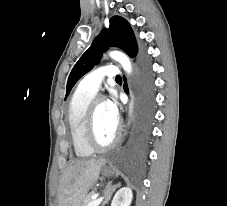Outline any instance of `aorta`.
Returning a JSON list of instances; mask_svg holds the SVG:
<instances>
[{
    "label": "aorta",
    "mask_w": 227,
    "mask_h": 206,
    "mask_svg": "<svg viewBox=\"0 0 227 206\" xmlns=\"http://www.w3.org/2000/svg\"><path fill=\"white\" fill-rule=\"evenodd\" d=\"M109 56L112 59L118 61L126 73L130 74L132 72L131 62L129 57L126 54L120 51H111L109 53ZM130 107H132V103L130 104Z\"/></svg>",
    "instance_id": "762f6f07"
}]
</instances>
